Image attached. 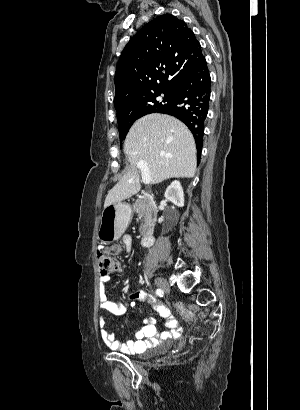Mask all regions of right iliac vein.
Returning <instances> with one entry per match:
<instances>
[{
    "label": "right iliac vein",
    "instance_id": "1",
    "mask_svg": "<svg viewBox=\"0 0 300 410\" xmlns=\"http://www.w3.org/2000/svg\"><path fill=\"white\" fill-rule=\"evenodd\" d=\"M155 284L163 291H169L170 289L168 282L163 278H155Z\"/></svg>",
    "mask_w": 300,
    "mask_h": 410
}]
</instances>
